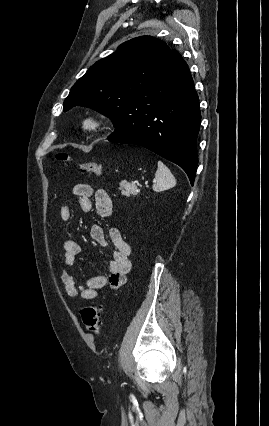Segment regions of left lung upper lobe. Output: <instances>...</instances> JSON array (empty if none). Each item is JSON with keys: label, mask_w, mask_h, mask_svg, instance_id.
I'll return each instance as SVG.
<instances>
[{"label": "left lung upper lobe", "mask_w": 269, "mask_h": 426, "mask_svg": "<svg viewBox=\"0 0 269 426\" xmlns=\"http://www.w3.org/2000/svg\"><path fill=\"white\" fill-rule=\"evenodd\" d=\"M170 48L150 36L131 39L117 51L97 61L71 88L64 111L81 105L110 117L117 128L134 95L150 87Z\"/></svg>", "instance_id": "left-lung-upper-lobe-1"}]
</instances>
